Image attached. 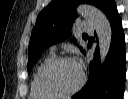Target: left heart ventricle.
Segmentation results:
<instances>
[{"instance_id": "b2bd125f", "label": "left heart ventricle", "mask_w": 128, "mask_h": 99, "mask_svg": "<svg viewBox=\"0 0 128 99\" xmlns=\"http://www.w3.org/2000/svg\"><path fill=\"white\" fill-rule=\"evenodd\" d=\"M81 70L75 62H64L49 69L42 78L43 85L56 92H66L78 85Z\"/></svg>"}]
</instances>
